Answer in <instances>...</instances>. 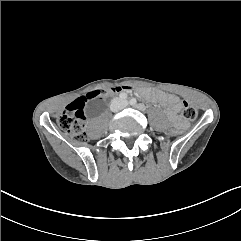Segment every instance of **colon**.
<instances>
[{
    "label": "colon",
    "instance_id": "colon-1",
    "mask_svg": "<svg viewBox=\"0 0 241 241\" xmlns=\"http://www.w3.org/2000/svg\"><path fill=\"white\" fill-rule=\"evenodd\" d=\"M127 88V87H126ZM118 91V87H110L89 92L84 97L69 104L66 110L58 117V126L64 133L69 134L78 141H86L87 135L85 132L86 117L83 111L84 103L88 100L96 99L98 97L107 95L109 93ZM198 112L195 107L188 102H183L182 116L186 120L196 119ZM167 136L174 138H181L183 129L181 127L168 128Z\"/></svg>",
    "mask_w": 241,
    "mask_h": 241
}]
</instances>
